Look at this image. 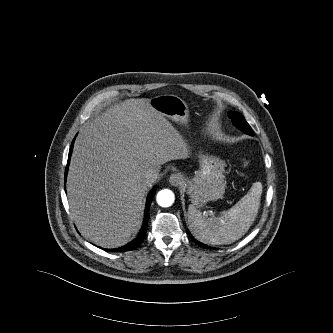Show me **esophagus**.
I'll return each mask as SVG.
<instances>
[{
  "label": "esophagus",
  "mask_w": 333,
  "mask_h": 333,
  "mask_svg": "<svg viewBox=\"0 0 333 333\" xmlns=\"http://www.w3.org/2000/svg\"><path fill=\"white\" fill-rule=\"evenodd\" d=\"M184 178L180 173H174L169 178V183L172 186H179L183 183Z\"/></svg>",
  "instance_id": "esophagus-1"
}]
</instances>
